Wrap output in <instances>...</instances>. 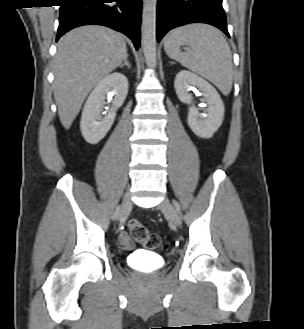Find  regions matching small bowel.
Instances as JSON below:
<instances>
[{"instance_id": "small-bowel-1", "label": "small bowel", "mask_w": 304, "mask_h": 329, "mask_svg": "<svg viewBox=\"0 0 304 329\" xmlns=\"http://www.w3.org/2000/svg\"><path fill=\"white\" fill-rule=\"evenodd\" d=\"M119 241L124 249L126 250H132L134 248V244L129 238V236L125 233H122L119 237Z\"/></svg>"}]
</instances>
